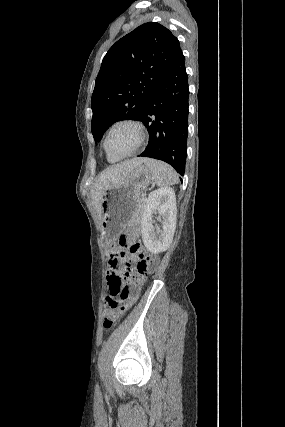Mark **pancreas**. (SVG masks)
Returning a JSON list of instances; mask_svg holds the SVG:
<instances>
[{"mask_svg":"<svg viewBox=\"0 0 285 427\" xmlns=\"http://www.w3.org/2000/svg\"><path fill=\"white\" fill-rule=\"evenodd\" d=\"M145 203H146L145 201H141V202L138 203L137 214L142 215Z\"/></svg>","mask_w":285,"mask_h":427,"instance_id":"cf45deb5","label":"pancreas"}]
</instances>
